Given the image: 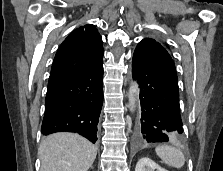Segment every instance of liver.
<instances>
[{
    "mask_svg": "<svg viewBox=\"0 0 223 171\" xmlns=\"http://www.w3.org/2000/svg\"><path fill=\"white\" fill-rule=\"evenodd\" d=\"M97 148L82 136L60 132L49 135L40 144V171H88Z\"/></svg>",
    "mask_w": 223,
    "mask_h": 171,
    "instance_id": "1",
    "label": "liver"
}]
</instances>
